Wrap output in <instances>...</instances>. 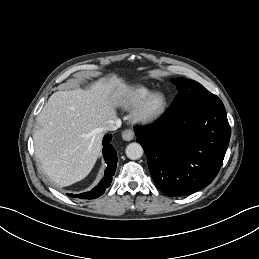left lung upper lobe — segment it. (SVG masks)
<instances>
[{
	"mask_svg": "<svg viewBox=\"0 0 259 259\" xmlns=\"http://www.w3.org/2000/svg\"><path fill=\"white\" fill-rule=\"evenodd\" d=\"M171 81L177 86L179 93L169 112L182 110L192 105L219 99L196 81L186 78H175Z\"/></svg>",
	"mask_w": 259,
	"mask_h": 259,
	"instance_id": "1",
	"label": "left lung upper lobe"
}]
</instances>
